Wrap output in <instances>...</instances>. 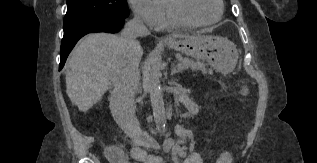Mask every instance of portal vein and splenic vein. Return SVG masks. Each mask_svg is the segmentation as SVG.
Segmentation results:
<instances>
[{"instance_id":"18ae733b","label":"portal vein and splenic vein","mask_w":317,"mask_h":163,"mask_svg":"<svg viewBox=\"0 0 317 163\" xmlns=\"http://www.w3.org/2000/svg\"><path fill=\"white\" fill-rule=\"evenodd\" d=\"M179 69H184V67L182 65H178Z\"/></svg>"}]
</instances>
